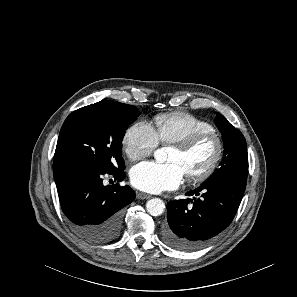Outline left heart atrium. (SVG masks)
I'll list each match as a JSON object with an SVG mask.
<instances>
[{"instance_id": "obj_1", "label": "left heart atrium", "mask_w": 297, "mask_h": 297, "mask_svg": "<svg viewBox=\"0 0 297 297\" xmlns=\"http://www.w3.org/2000/svg\"><path fill=\"white\" fill-rule=\"evenodd\" d=\"M184 178L183 168L175 162L144 161L133 166L130 172L133 186L149 193L175 189L183 182Z\"/></svg>"}]
</instances>
